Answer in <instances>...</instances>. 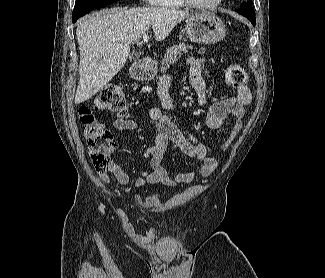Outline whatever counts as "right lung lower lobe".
I'll use <instances>...</instances> for the list:
<instances>
[{"label": "right lung lower lobe", "instance_id": "1", "mask_svg": "<svg viewBox=\"0 0 325 278\" xmlns=\"http://www.w3.org/2000/svg\"><path fill=\"white\" fill-rule=\"evenodd\" d=\"M95 8H98V7H91V8H89V9L83 11V12H77V13H75V8H74L73 14H72V17H73L72 22L73 23L76 22L78 18H80L81 16L87 14L88 12H90L91 10H93Z\"/></svg>", "mask_w": 325, "mask_h": 278}]
</instances>
